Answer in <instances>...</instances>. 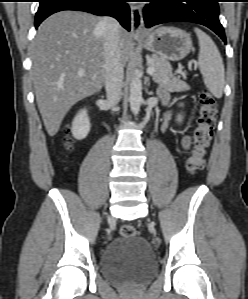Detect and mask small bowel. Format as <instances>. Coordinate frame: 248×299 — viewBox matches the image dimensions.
Instances as JSON below:
<instances>
[{
  "label": "small bowel",
  "instance_id": "1",
  "mask_svg": "<svg viewBox=\"0 0 248 299\" xmlns=\"http://www.w3.org/2000/svg\"><path fill=\"white\" fill-rule=\"evenodd\" d=\"M161 93L164 96L165 101H167V98H168V95H169L168 91L163 89V90H161ZM179 106H183V103H179ZM174 115H175V113L173 111H167L165 113L163 126H166ZM181 147L186 149V150H188L191 147V137L190 136H185L182 139Z\"/></svg>",
  "mask_w": 248,
  "mask_h": 299
}]
</instances>
